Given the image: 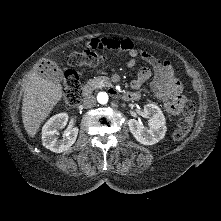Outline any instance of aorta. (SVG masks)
Returning <instances> with one entry per match:
<instances>
[{"label": "aorta", "mask_w": 221, "mask_h": 221, "mask_svg": "<svg viewBox=\"0 0 221 221\" xmlns=\"http://www.w3.org/2000/svg\"><path fill=\"white\" fill-rule=\"evenodd\" d=\"M97 100L100 104H106L108 102V94L105 92H100L97 95Z\"/></svg>", "instance_id": "obj_1"}]
</instances>
